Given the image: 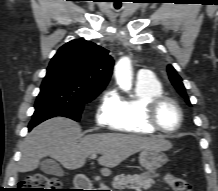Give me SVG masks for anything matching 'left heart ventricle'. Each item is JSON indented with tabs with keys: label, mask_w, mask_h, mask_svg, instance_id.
I'll return each mask as SVG.
<instances>
[{
	"label": "left heart ventricle",
	"mask_w": 218,
	"mask_h": 191,
	"mask_svg": "<svg viewBox=\"0 0 218 191\" xmlns=\"http://www.w3.org/2000/svg\"><path fill=\"white\" fill-rule=\"evenodd\" d=\"M157 118L160 126L167 130H173L179 124L178 110L169 102H166L160 106Z\"/></svg>",
	"instance_id": "obj_1"
}]
</instances>
